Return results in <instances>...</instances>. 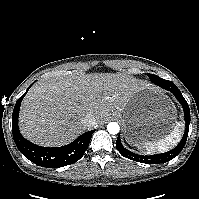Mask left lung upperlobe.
<instances>
[{
	"instance_id": "1",
	"label": "left lung upper lobe",
	"mask_w": 199,
	"mask_h": 199,
	"mask_svg": "<svg viewBox=\"0 0 199 199\" xmlns=\"http://www.w3.org/2000/svg\"><path fill=\"white\" fill-rule=\"evenodd\" d=\"M150 80L155 83L156 85L160 84V83H168V82H171V81H168V80H165V79H162L160 77H158L157 75H154V74H148Z\"/></svg>"
}]
</instances>
